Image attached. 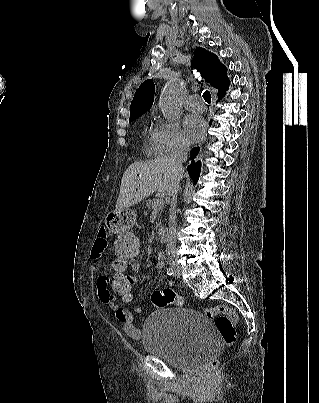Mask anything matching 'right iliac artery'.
Here are the masks:
<instances>
[{"instance_id":"right-iliac-artery-1","label":"right iliac artery","mask_w":319,"mask_h":403,"mask_svg":"<svg viewBox=\"0 0 319 403\" xmlns=\"http://www.w3.org/2000/svg\"><path fill=\"white\" fill-rule=\"evenodd\" d=\"M173 269L172 268H168L167 269V274L169 275V276H171V275H173Z\"/></svg>"}]
</instances>
